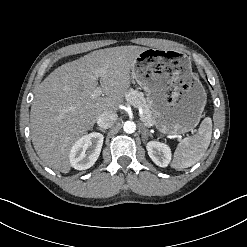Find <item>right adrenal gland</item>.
Here are the masks:
<instances>
[{"mask_svg": "<svg viewBox=\"0 0 247 247\" xmlns=\"http://www.w3.org/2000/svg\"><path fill=\"white\" fill-rule=\"evenodd\" d=\"M97 129H98L99 131H101L102 133H105V132H106L105 129H102V128H99V127H97Z\"/></svg>", "mask_w": 247, "mask_h": 247, "instance_id": "obj_1", "label": "right adrenal gland"}]
</instances>
